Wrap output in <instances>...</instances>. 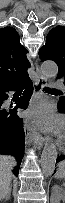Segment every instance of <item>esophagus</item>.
<instances>
[{
    "label": "esophagus",
    "instance_id": "34e87169",
    "mask_svg": "<svg viewBox=\"0 0 65 203\" xmlns=\"http://www.w3.org/2000/svg\"><path fill=\"white\" fill-rule=\"evenodd\" d=\"M37 79L34 81V94H33V103L38 101L42 97V88L46 85V78L40 73L38 65H36ZM27 132L31 137V142L37 144L38 148L42 147L44 138L39 133V131L32 125L27 126Z\"/></svg>",
    "mask_w": 65,
    "mask_h": 203
}]
</instances>
